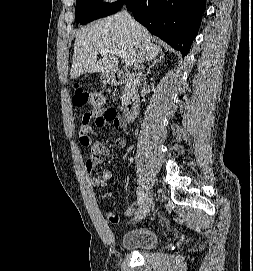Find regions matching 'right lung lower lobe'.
<instances>
[{
    "label": "right lung lower lobe",
    "instance_id": "obj_1",
    "mask_svg": "<svg viewBox=\"0 0 253 271\" xmlns=\"http://www.w3.org/2000/svg\"><path fill=\"white\" fill-rule=\"evenodd\" d=\"M134 18L183 56L198 33L205 0H127Z\"/></svg>",
    "mask_w": 253,
    "mask_h": 271
}]
</instances>
